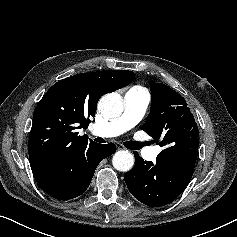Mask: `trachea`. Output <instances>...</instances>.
I'll use <instances>...</instances> for the list:
<instances>
[{"label": "trachea", "instance_id": "1", "mask_svg": "<svg viewBox=\"0 0 237 237\" xmlns=\"http://www.w3.org/2000/svg\"><path fill=\"white\" fill-rule=\"evenodd\" d=\"M95 141L104 143L105 141L102 138H96ZM146 145V143H140V142H125L124 146H126L128 149L131 150H137L140 149L142 146Z\"/></svg>", "mask_w": 237, "mask_h": 237}]
</instances>
